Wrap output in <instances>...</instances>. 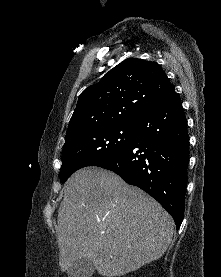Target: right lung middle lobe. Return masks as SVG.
Instances as JSON below:
<instances>
[{
  "label": "right lung middle lobe",
  "mask_w": 221,
  "mask_h": 277,
  "mask_svg": "<svg viewBox=\"0 0 221 277\" xmlns=\"http://www.w3.org/2000/svg\"><path fill=\"white\" fill-rule=\"evenodd\" d=\"M134 123L89 128L65 140L59 177L64 183L76 170L95 166L124 152L132 142Z\"/></svg>",
  "instance_id": "right-lung-middle-lobe-1"
}]
</instances>
